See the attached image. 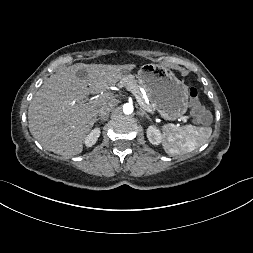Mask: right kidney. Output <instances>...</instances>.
Segmentation results:
<instances>
[{"mask_svg":"<svg viewBox=\"0 0 253 253\" xmlns=\"http://www.w3.org/2000/svg\"><path fill=\"white\" fill-rule=\"evenodd\" d=\"M99 136H100V128H95L85 138V141H84L85 145L87 147H91L92 145H94L96 143V141L98 140Z\"/></svg>","mask_w":253,"mask_h":253,"instance_id":"right-kidney-1","label":"right kidney"}]
</instances>
